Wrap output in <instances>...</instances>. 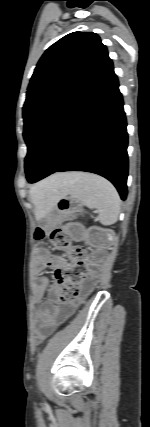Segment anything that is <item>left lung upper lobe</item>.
I'll use <instances>...</instances> for the list:
<instances>
[{
  "mask_svg": "<svg viewBox=\"0 0 150 427\" xmlns=\"http://www.w3.org/2000/svg\"><path fill=\"white\" fill-rule=\"evenodd\" d=\"M111 63L106 46L92 32L70 33L45 51L23 107L28 148L42 127Z\"/></svg>",
  "mask_w": 150,
  "mask_h": 427,
  "instance_id": "5c2ea615",
  "label": "left lung upper lobe"
}]
</instances>
